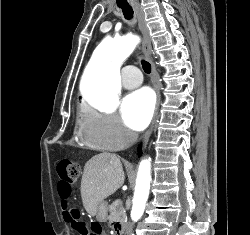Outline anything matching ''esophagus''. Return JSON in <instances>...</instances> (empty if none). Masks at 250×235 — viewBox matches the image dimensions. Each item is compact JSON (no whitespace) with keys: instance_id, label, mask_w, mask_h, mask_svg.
<instances>
[{"instance_id":"esophagus-1","label":"esophagus","mask_w":250,"mask_h":235,"mask_svg":"<svg viewBox=\"0 0 250 235\" xmlns=\"http://www.w3.org/2000/svg\"><path fill=\"white\" fill-rule=\"evenodd\" d=\"M134 9H135V14H136V17L138 20L139 28H140V31L142 33V49H143L145 56L150 60V62L152 64L153 85H154V88L157 92L158 99L160 101L159 86H158V83L155 79L156 67H155V64H154L153 58H152L151 41L149 38L148 28L146 26L144 13H143L142 7L139 4H136ZM157 118H158V111L156 112L155 117H154L149 129L146 131V133L143 136V144L147 143V141L149 140Z\"/></svg>"}]
</instances>
